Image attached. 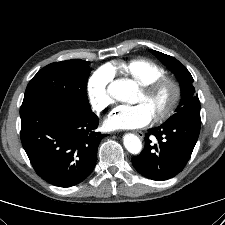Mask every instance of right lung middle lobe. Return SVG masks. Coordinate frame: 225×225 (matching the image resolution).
Instances as JSON below:
<instances>
[{
    "label": "right lung middle lobe",
    "mask_w": 225,
    "mask_h": 225,
    "mask_svg": "<svg viewBox=\"0 0 225 225\" xmlns=\"http://www.w3.org/2000/svg\"><path fill=\"white\" fill-rule=\"evenodd\" d=\"M89 65L88 61L73 59L45 66L29 82L23 103L59 102L81 112H92L85 91Z\"/></svg>",
    "instance_id": "dd1d6c3e"
}]
</instances>
